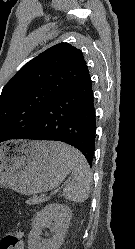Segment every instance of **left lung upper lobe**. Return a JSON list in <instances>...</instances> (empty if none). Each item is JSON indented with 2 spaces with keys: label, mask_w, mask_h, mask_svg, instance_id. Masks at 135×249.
I'll list each match as a JSON object with an SVG mask.
<instances>
[{
  "label": "left lung upper lobe",
  "mask_w": 135,
  "mask_h": 249,
  "mask_svg": "<svg viewBox=\"0 0 135 249\" xmlns=\"http://www.w3.org/2000/svg\"><path fill=\"white\" fill-rule=\"evenodd\" d=\"M89 76L81 50L59 43L26 63L0 96V142L31 131L42 110Z\"/></svg>",
  "instance_id": "left-lung-upper-lobe-1"
}]
</instances>
